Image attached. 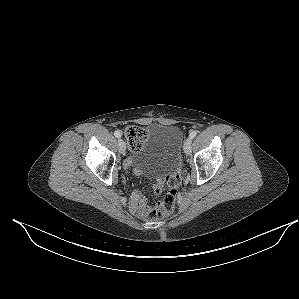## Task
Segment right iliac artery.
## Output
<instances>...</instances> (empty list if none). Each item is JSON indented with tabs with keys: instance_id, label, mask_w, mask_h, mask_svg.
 <instances>
[{
	"instance_id": "obj_1",
	"label": "right iliac artery",
	"mask_w": 299,
	"mask_h": 299,
	"mask_svg": "<svg viewBox=\"0 0 299 299\" xmlns=\"http://www.w3.org/2000/svg\"><path fill=\"white\" fill-rule=\"evenodd\" d=\"M114 135H115L117 138H120V137H121V132H120V131H115V132H114Z\"/></svg>"
}]
</instances>
